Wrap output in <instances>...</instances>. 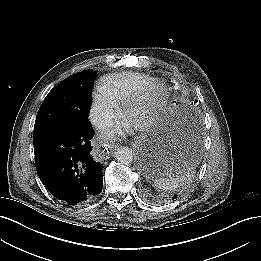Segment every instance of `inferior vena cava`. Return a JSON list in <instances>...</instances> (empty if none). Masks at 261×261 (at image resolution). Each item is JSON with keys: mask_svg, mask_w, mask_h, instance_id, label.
Returning <instances> with one entry per match:
<instances>
[{"mask_svg": "<svg viewBox=\"0 0 261 261\" xmlns=\"http://www.w3.org/2000/svg\"><path fill=\"white\" fill-rule=\"evenodd\" d=\"M95 121L98 125L108 127L111 125L110 116L106 112H97L95 115Z\"/></svg>", "mask_w": 261, "mask_h": 261, "instance_id": "obj_1", "label": "inferior vena cava"}]
</instances>
